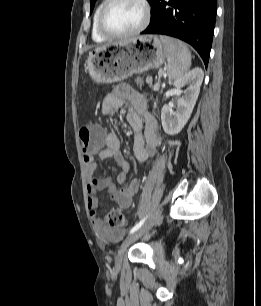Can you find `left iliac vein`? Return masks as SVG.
<instances>
[{
  "label": "left iliac vein",
  "instance_id": "obj_1",
  "mask_svg": "<svg viewBox=\"0 0 261 306\" xmlns=\"http://www.w3.org/2000/svg\"><path fill=\"white\" fill-rule=\"evenodd\" d=\"M160 215V212L156 215L157 219ZM154 219V220H155ZM154 220L150 221L149 223L145 224L144 226L140 227L137 231L129 235L122 243L121 247L119 248L117 255L115 257V267L120 268L122 264V259L124 252L126 248L132 244L134 241H136L138 238H140L148 229L149 227L153 224Z\"/></svg>",
  "mask_w": 261,
  "mask_h": 306
}]
</instances>
